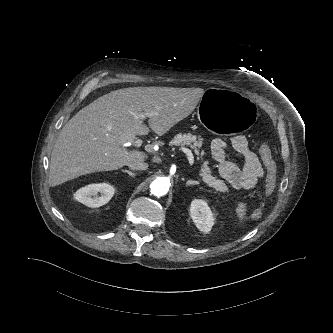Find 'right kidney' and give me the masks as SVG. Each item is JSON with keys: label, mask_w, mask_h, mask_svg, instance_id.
<instances>
[{"label": "right kidney", "mask_w": 333, "mask_h": 333, "mask_svg": "<svg viewBox=\"0 0 333 333\" xmlns=\"http://www.w3.org/2000/svg\"><path fill=\"white\" fill-rule=\"evenodd\" d=\"M115 189L108 183L90 184L79 189L74 197L80 203L96 208L106 204L114 195ZM100 194V196L98 195Z\"/></svg>", "instance_id": "1"}]
</instances>
